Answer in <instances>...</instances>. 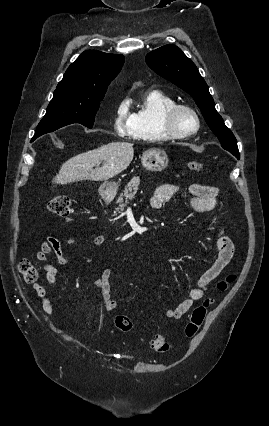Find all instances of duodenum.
Segmentation results:
<instances>
[{
  "mask_svg": "<svg viewBox=\"0 0 269 426\" xmlns=\"http://www.w3.org/2000/svg\"><path fill=\"white\" fill-rule=\"evenodd\" d=\"M101 198H102L103 201H108L109 200V196L107 194H105V193L101 194Z\"/></svg>",
  "mask_w": 269,
  "mask_h": 426,
  "instance_id": "1",
  "label": "duodenum"
}]
</instances>
